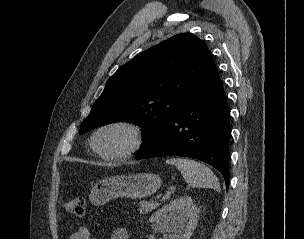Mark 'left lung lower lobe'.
<instances>
[{
    "label": "left lung lower lobe",
    "mask_w": 304,
    "mask_h": 239,
    "mask_svg": "<svg viewBox=\"0 0 304 239\" xmlns=\"http://www.w3.org/2000/svg\"><path fill=\"white\" fill-rule=\"evenodd\" d=\"M230 122L225 92L216 68L182 105L167 128L136 159L177 155L202 160L230 183L228 171Z\"/></svg>",
    "instance_id": "1"
}]
</instances>
